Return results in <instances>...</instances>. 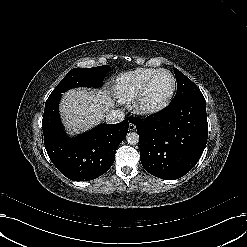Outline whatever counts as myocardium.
<instances>
[{"label": "myocardium", "instance_id": "myocardium-1", "mask_svg": "<svg viewBox=\"0 0 247 247\" xmlns=\"http://www.w3.org/2000/svg\"><path fill=\"white\" fill-rule=\"evenodd\" d=\"M161 73H166L170 76V78L172 80L171 90L168 93V95L160 101H155V102L148 101L147 100L148 89H149L151 83L153 82V80L156 78V76L161 74ZM175 90H176V79H175L174 75L167 69H158L146 81V83L144 84L141 91L132 100V103H131L132 108L138 116L146 117V116L153 115V114L161 111L162 109H164L170 103V101L172 100L173 95L175 93Z\"/></svg>", "mask_w": 247, "mask_h": 247}]
</instances>
